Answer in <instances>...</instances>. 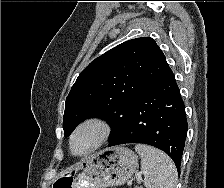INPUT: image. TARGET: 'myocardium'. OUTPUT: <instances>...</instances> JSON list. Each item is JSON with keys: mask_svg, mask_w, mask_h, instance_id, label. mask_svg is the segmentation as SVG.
I'll use <instances>...</instances> for the list:
<instances>
[{"mask_svg": "<svg viewBox=\"0 0 224 188\" xmlns=\"http://www.w3.org/2000/svg\"><path fill=\"white\" fill-rule=\"evenodd\" d=\"M90 125L95 126L99 129V132H100L99 137L97 141L95 142V144L90 149H88L87 151L83 153L77 154L73 151L74 138L82 128L86 126H90ZM111 133H112V125L106 118L102 116L88 117L82 120L73 130L69 140L70 151L75 156H86L94 152L95 150H97L99 147H101L109 139V137L111 136Z\"/></svg>", "mask_w": 224, "mask_h": 188, "instance_id": "f54148a6", "label": "myocardium"}]
</instances>
